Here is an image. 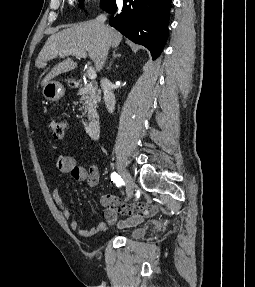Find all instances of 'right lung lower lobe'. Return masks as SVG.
I'll use <instances>...</instances> for the list:
<instances>
[{
    "mask_svg": "<svg viewBox=\"0 0 255 287\" xmlns=\"http://www.w3.org/2000/svg\"><path fill=\"white\" fill-rule=\"evenodd\" d=\"M171 0H123L108 12L115 13L109 24L131 41L143 45L156 59L168 37L169 6Z\"/></svg>",
    "mask_w": 255,
    "mask_h": 287,
    "instance_id": "98d812e1",
    "label": "right lung lower lobe"
}]
</instances>
